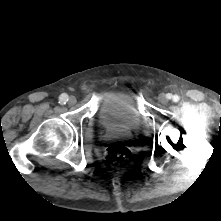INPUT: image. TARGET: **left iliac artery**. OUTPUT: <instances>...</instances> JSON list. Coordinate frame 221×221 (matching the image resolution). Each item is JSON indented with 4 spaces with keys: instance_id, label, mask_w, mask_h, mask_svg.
<instances>
[{
    "instance_id": "44dca946",
    "label": "left iliac artery",
    "mask_w": 221,
    "mask_h": 221,
    "mask_svg": "<svg viewBox=\"0 0 221 221\" xmlns=\"http://www.w3.org/2000/svg\"><path fill=\"white\" fill-rule=\"evenodd\" d=\"M167 98H169V97L167 96ZM172 98L175 102L179 101V96L178 95H174V96H172Z\"/></svg>"
}]
</instances>
